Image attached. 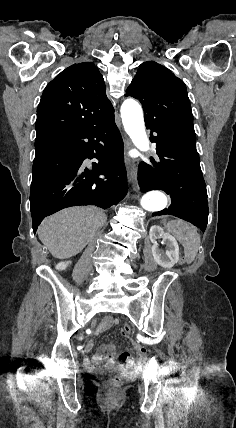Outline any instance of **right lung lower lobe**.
Instances as JSON below:
<instances>
[{"instance_id":"right-lung-lower-lobe-1","label":"right lung lower lobe","mask_w":236,"mask_h":428,"mask_svg":"<svg viewBox=\"0 0 236 428\" xmlns=\"http://www.w3.org/2000/svg\"><path fill=\"white\" fill-rule=\"evenodd\" d=\"M39 144L42 146L36 150L30 191L34 233L44 217L63 208L96 205L106 209L126 195L123 140L114 115ZM86 158H96L99 163H93L89 170L82 165Z\"/></svg>"}]
</instances>
